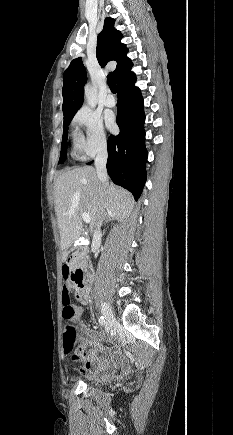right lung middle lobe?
Masks as SVG:
<instances>
[{
    "label": "right lung middle lobe",
    "mask_w": 233,
    "mask_h": 435,
    "mask_svg": "<svg viewBox=\"0 0 233 435\" xmlns=\"http://www.w3.org/2000/svg\"><path fill=\"white\" fill-rule=\"evenodd\" d=\"M73 117H74V115L64 117V123H63V129H64V131H63V138H62V145H61V153H60L59 164L64 163V161L66 159V155H67L68 125L70 124V122H71Z\"/></svg>",
    "instance_id": "obj_1"
}]
</instances>
